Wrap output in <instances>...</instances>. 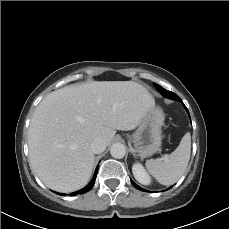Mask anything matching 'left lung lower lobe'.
<instances>
[{
    "mask_svg": "<svg viewBox=\"0 0 229 229\" xmlns=\"http://www.w3.org/2000/svg\"><path fill=\"white\" fill-rule=\"evenodd\" d=\"M171 99H175V100H178V101H181V99L175 94L173 98ZM185 106V105H184ZM186 108V106H185ZM186 110L188 111V109L186 108ZM132 184L134 185L135 188L141 190V191H144V189L140 188L138 185H136L132 180H131ZM171 188V187H170ZM169 188V189H170Z\"/></svg>",
    "mask_w": 229,
    "mask_h": 229,
    "instance_id": "left-lung-lower-lobe-1",
    "label": "left lung lower lobe"
}]
</instances>
